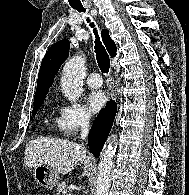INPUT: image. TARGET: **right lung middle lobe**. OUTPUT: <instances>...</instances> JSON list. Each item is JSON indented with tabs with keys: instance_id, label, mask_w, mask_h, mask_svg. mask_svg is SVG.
Instances as JSON below:
<instances>
[{
	"instance_id": "dd1d6c3e",
	"label": "right lung middle lobe",
	"mask_w": 189,
	"mask_h": 195,
	"mask_svg": "<svg viewBox=\"0 0 189 195\" xmlns=\"http://www.w3.org/2000/svg\"><path fill=\"white\" fill-rule=\"evenodd\" d=\"M42 103H43V100L34 102V108H33V112H32L33 116H35L36 112L38 111V109L40 108Z\"/></svg>"
}]
</instances>
